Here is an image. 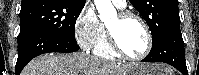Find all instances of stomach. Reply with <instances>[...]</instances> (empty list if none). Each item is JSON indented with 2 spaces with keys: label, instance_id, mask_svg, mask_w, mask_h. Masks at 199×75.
I'll return each instance as SVG.
<instances>
[{
  "label": "stomach",
  "instance_id": "obj_1",
  "mask_svg": "<svg viewBox=\"0 0 199 75\" xmlns=\"http://www.w3.org/2000/svg\"><path fill=\"white\" fill-rule=\"evenodd\" d=\"M166 66L156 63H138L132 65L126 75H168Z\"/></svg>",
  "mask_w": 199,
  "mask_h": 75
}]
</instances>
